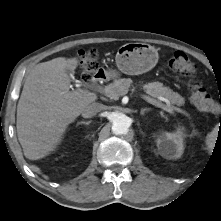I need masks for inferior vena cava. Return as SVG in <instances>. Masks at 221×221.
Masks as SVG:
<instances>
[{"label":"inferior vena cava","instance_id":"inferior-vena-cava-1","mask_svg":"<svg viewBox=\"0 0 221 221\" xmlns=\"http://www.w3.org/2000/svg\"><path fill=\"white\" fill-rule=\"evenodd\" d=\"M102 110V105L93 102L82 109V116L84 118H91Z\"/></svg>","mask_w":221,"mask_h":221}]
</instances>
